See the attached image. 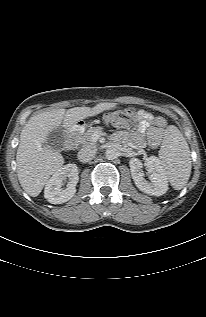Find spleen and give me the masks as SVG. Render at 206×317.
I'll use <instances>...</instances> for the list:
<instances>
[{
    "mask_svg": "<svg viewBox=\"0 0 206 317\" xmlns=\"http://www.w3.org/2000/svg\"><path fill=\"white\" fill-rule=\"evenodd\" d=\"M159 161L173 188L181 190L189 180L192 166L189 146L174 125H169L164 132Z\"/></svg>",
    "mask_w": 206,
    "mask_h": 317,
    "instance_id": "3e777b00",
    "label": "spleen"
}]
</instances>
